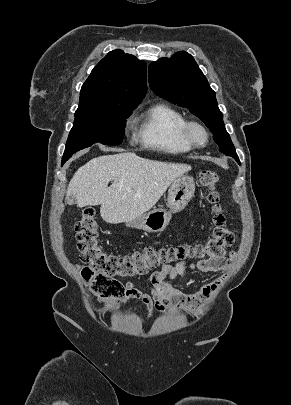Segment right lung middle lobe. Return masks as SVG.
Here are the masks:
<instances>
[{
	"label": "right lung middle lobe",
	"mask_w": 291,
	"mask_h": 405,
	"mask_svg": "<svg viewBox=\"0 0 291 405\" xmlns=\"http://www.w3.org/2000/svg\"><path fill=\"white\" fill-rule=\"evenodd\" d=\"M135 107L118 105H90L79 107L70 131L62 164L73 153L100 142L104 145H118L123 141L125 118Z\"/></svg>",
	"instance_id": "right-lung-middle-lobe-1"
}]
</instances>
